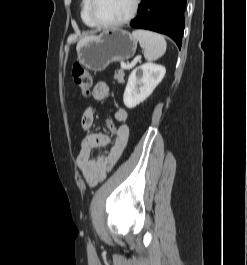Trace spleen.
Here are the masks:
<instances>
[{"label": "spleen", "instance_id": "3e777b00", "mask_svg": "<svg viewBox=\"0 0 247 265\" xmlns=\"http://www.w3.org/2000/svg\"><path fill=\"white\" fill-rule=\"evenodd\" d=\"M132 36L139 42L144 50V57L148 61L160 58L166 51V41L158 33L138 29L132 32Z\"/></svg>", "mask_w": 247, "mask_h": 265}]
</instances>
